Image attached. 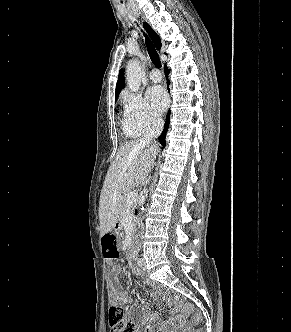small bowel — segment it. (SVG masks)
Masks as SVG:
<instances>
[{
  "instance_id": "1",
  "label": "small bowel",
  "mask_w": 291,
  "mask_h": 332,
  "mask_svg": "<svg viewBox=\"0 0 291 332\" xmlns=\"http://www.w3.org/2000/svg\"><path fill=\"white\" fill-rule=\"evenodd\" d=\"M133 274L136 276H141V271L138 268H132ZM122 273V267L120 265H114L109 274V297L112 301L117 299H125L126 293L118 287L119 277ZM153 300L156 303H161L163 300L169 304V297H165L160 289H156L153 294ZM132 315V327L133 332H141L139 327L146 324H156L160 328H166L175 326L176 324L182 322L183 318L179 314H172L170 319L165 323L158 324V317L155 314L148 312L144 307L139 304H134L131 307Z\"/></svg>"
}]
</instances>
